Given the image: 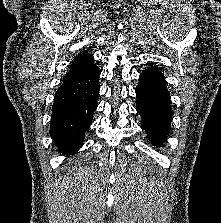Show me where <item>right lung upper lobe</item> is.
<instances>
[{"instance_id":"cb5924a9","label":"right lung upper lobe","mask_w":221,"mask_h":223,"mask_svg":"<svg viewBox=\"0 0 221 223\" xmlns=\"http://www.w3.org/2000/svg\"><path fill=\"white\" fill-rule=\"evenodd\" d=\"M93 66L94 61L91 55L85 53L79 55L72 63L69 73L67 74L63 82L69 81L75 77L80 76L81 74L87 72Z\"/></svg>"}]
</instances>
